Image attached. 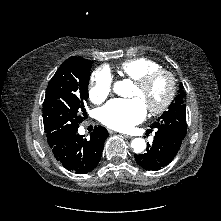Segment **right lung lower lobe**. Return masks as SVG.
Segmentation results:
<instances>
[{"label":"right lung lower lobe","mask_w":221,"mask_h":221,"mask_svg":"<svg viewBox=\"0 0 221 221\" xmlns=\"http://www.w3.org/2000/svg\"><path fill=\"white\" fill-rule=\"evenodd\" d=\"M77 130L49 146L63 167L77 174H85L92 171L101 160L104 141L109 133L104 127L98 126L90 134V139H85Z\"/></svg>","instance_id":"right-lung-lower-lobe-1"}]
</instances>
